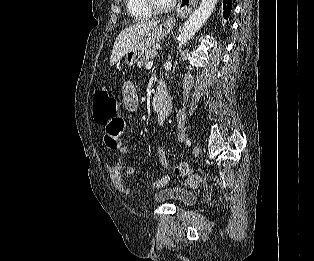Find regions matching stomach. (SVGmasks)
Segmentation results:
<instances>
[{"mask_svg":"<svg viewBox=\"0 0 314 261\" xmlns=\"http://www.w3.org/2000/svg\"><path fill=\"white\" fill-rule=\"evenodd\" d=\"M170 31L169 23H163L153 28L125 57L128 66H134L143 54L163 39Z\"/></svg>","mask_w":314,"mask_h":261,"instance_id":"stomach-1","label":"stomach"}]
</instances>
